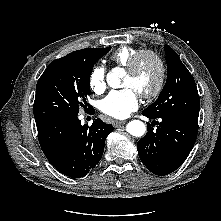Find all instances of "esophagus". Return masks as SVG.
<instances>
[{"label": "esophagus", "mask_w": 221, "mask_h": 221, "mask_svg": "<svg viewBox=\"0 0 221 221\" xmlns=\"http://www.w3.org/2000/svg\"><path fill=\"white\" fill-rule=\"evenodd\" d=\"M125 123H126V121H118V120H116V121H113V126L114 127H118V126L123 125Z\"/></svg>", "instance_id": "obj_1"}]
</instances>
